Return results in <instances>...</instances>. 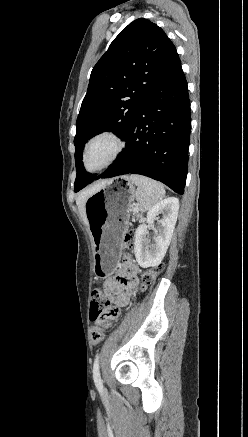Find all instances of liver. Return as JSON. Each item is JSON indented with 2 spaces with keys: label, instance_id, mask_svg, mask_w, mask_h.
<instances>
[{
  "label": "liver",
  "instance_id": "6515ba94",
  "mask_svg": "<svg viewBox=\"0 0 248 437\" xmlns=\"http://www.w3.org/2000/svg\"><path fill=\"white\" fill-rule=\"evenodd\" d=\"M105 183H106V181H102L100 183L94 184V185L84 189L83 191H81L78 194V196L76 198V204L78 206L79 212H80L85 223H87L85 202L93 193H95L97 190H99Z\"/></svg>",
  "mask_w": 248,
  "mask_h": 437
}]
</instances>
